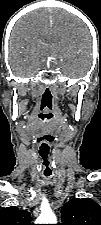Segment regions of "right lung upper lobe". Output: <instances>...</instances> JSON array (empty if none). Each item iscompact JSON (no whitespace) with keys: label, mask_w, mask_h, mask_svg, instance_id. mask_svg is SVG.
<instances>
[{"label":"right lung upper lobe","mask_w":101,"mask_h":225,"mask_svg":"<svg viewBox=\"0 0 101 225\" xmlns=\"http://www.w3.org/2000/svg\"><path fill=\"white\" fill-rule=\"evenodd\" d=\"M0 225H32L30 213L15 206L0 209Z\"/></svg>","instance_id":"obj_1"}]
</instances>
